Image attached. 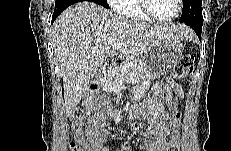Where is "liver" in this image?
<instances>
[{
    "mask_svg": "<svg viewBox=\"0 0 231 151\" xmlns=\"http://www.w3.org/2000/svg\"><path fill=\"white\" fill-rule=\"evenodd\" d=\"M193 31L182 24L152 26L125 18L89 1L69 6L55 20L52 44L63 75L64 107L70 115L96 77L99 63L117 52L121 60L142 57L165 39L187 40ZM122 43L119 50L112 46Z\"/></svg>",
    "mask_w": 231,
    "mask_h": 151,
    "instance_id": "obj_1",
    "label": "liver"
}]
</instances>
